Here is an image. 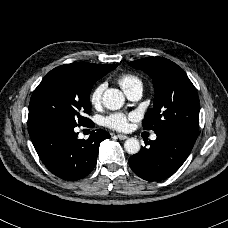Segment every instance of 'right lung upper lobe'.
<instances>
[{
    "mask_svg": "<svg viewBox=\"0 0 228 228\" xmlns=\"http://www.w3.org/2000/svg\"><path fill=\"white\" fill-rule=\"evenodd\" d=\"M77 64L87 66L94 70H108L114 66L113 64L97 65V64H91L86 62H78Z\"/></svg>",
    "mask_w": 228,
    "mask_h": 228,
    "instance_id": "cb5924a9",
    "label": "right lung upper lobe"
}]
</instances>
